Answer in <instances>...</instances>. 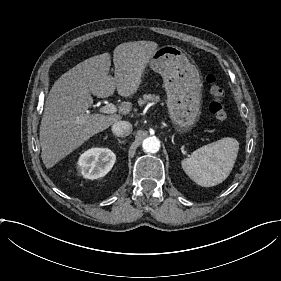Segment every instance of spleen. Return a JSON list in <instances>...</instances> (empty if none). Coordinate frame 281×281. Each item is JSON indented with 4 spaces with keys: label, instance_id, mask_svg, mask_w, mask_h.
Masks as SVG:
<instances>
[{
    "label": "spleen",
    "instance_id": "obj_1",
    "mask_svg": "<svg viewBox=\"0 0 281 281\" xmlns=\"http://www.w3.org/2000/svg\"><path fill=\"white\" fill-rule=\"evenodd\" d=\"M240 143L226 137L194 151L182 162L183 169L196 183L204 187L221 184L231 174Z\"/></svg>",
    "mask_w": 281,
    "mask_h": 281
}]
</instances>
